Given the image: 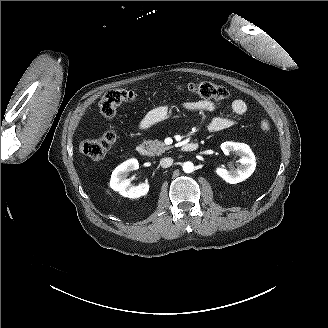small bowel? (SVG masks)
<instances>
[{"instance_id": "c3829d8e", "label": "small bowel", "mask_w": 328, "mask_h": 328, "mask_svg": "<svg viewBox=\"0 0 328 328\" xmlns=\"http://www.w3.org/2000/svg\"><path fill=\"white\" fill-rule=\"evenodd\" d=\"M216 104L211 100H197L182 104V108L191 112H208L212 111ZM231 109L236 115H243L247 111V105L242 99H235L231 103ZM170 114L168 106H158L150 110L139 122V128L146 130L155 124L166 119ZM235 122L226 117H216L208 123V130L210 132H219L232 127Z\"/></svg>"}]
</instances>
